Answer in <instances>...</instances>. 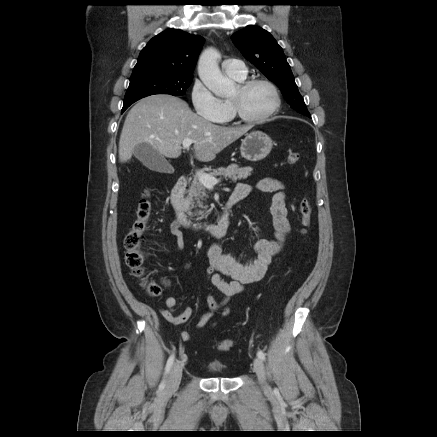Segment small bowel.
I'll return each instance as SVG.
<instances>
[{
  "mask_svg": "<svg viewBox=\"0 0 437 437\" xmlns=\"http://www.w3.org/2000/svg\"><path fill=\"white\" fill-rule=\"evenodd\" d=\"M256 187L262 192L274 193L270 211L275 228V239L257 240L253 245L254 255L246 260H239L230 254L222 252L217 245H212L208 249V267L206 273L211 285L223 295V298L217 301L213 295L209 294L207 296L209 310L199 320L197 324L199 329L204 328L218 310L222 311L223 317L227 316L230 312V299L241 293L247 284L263 278L273 256L281 250L285 236L290 230L287 219L288 210L285 203L284 184L274 178H264L257 183ZM251 190L252 187L249 184L239 183L233 195L242 200L250 194ZM170 232L176 239V249L178 251L182 250L184 239L181 225L176 219L170 225ZM224 276L229 277L231 280L226 281L223 278ZM176 303L177 301L174 297H167L165 300L166 308L161 309V314L170 323L179 325L187 322L192 317L193 309L187 307L182 313L175 314L174 308ZM181 338L183 341H187L190 335L187 331H182Z\"/></svg>",
  "mask_w": 437,
  "mask_h": 437,
  "instance_id": "1",
  "label": "small bowel"
}]
</instances>
